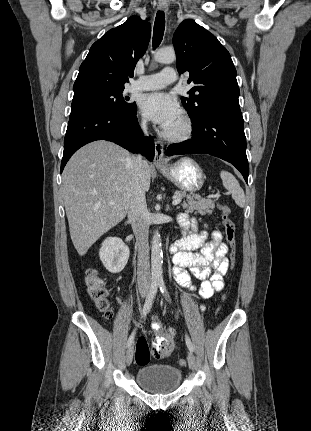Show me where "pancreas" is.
<instances>
[{
    "label": "pancreas",
    "instance_id": "1",
    "mask_svg": "<svg viewBox=\"0 0 311 431\" xmlns=\"http://www.w3.org/2000/svg\"><path fill=\"white\" fill-rule=\"evenodd\" d=\"M175 196L186 198L187 202L182 204V208L186 212H195V214L206 216V214H212L215 208V200H206V198H201L198 194L187 196L186 192H175Z\"/></svg>",
    "mask_w": 311,
    "mask_h": 431
}]
</instances>
